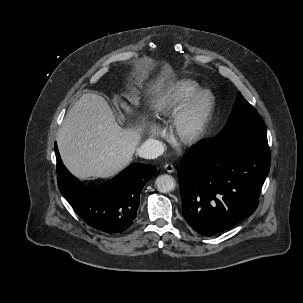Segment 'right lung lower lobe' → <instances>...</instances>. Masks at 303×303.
I'll return each mask as SVG.
<instances>
[{"label":"right lung lower lobe","instance_id":"1","mask_svg":"<svg viewBox=\"0 0 303 303\" xmlns=\"http://www.w3.org/2000/svg\"><path fill=\"white\" fill-rule=\"evenodd\" d=\"M55 153L59 190L83 221L105 233H122L133 224L140 193L155 166L134 163L111 181L88 189L63 165L56 144Z\"/></svg>","mask_w":303,"mask_h":303}]
</instances>
